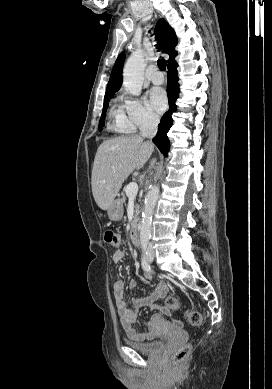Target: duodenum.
Masks as SVG:
<instances>
[{
  "label": "duodenum",
  "instance_id": "duodenum-1",
  "mask_svg": "<svg viewBox=\"0 0 272 389\" xmlns=\"http://www.w3.org/2000/svg\"><path fill=\"white\" fill-rule=\"evenodd\" d=\"M130 240L133 245L138 246L140 245V238H139V226L138 222L136 221L134 225L132 226L130 230Z\"/></svg>",
  "mask_w": 272,
  "mask_h": 389
}]
</instances>
